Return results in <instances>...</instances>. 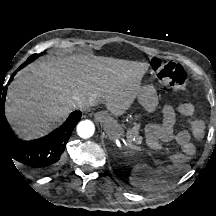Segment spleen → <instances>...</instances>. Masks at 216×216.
I'll return each mask as SVG.
<instances>
[{
    "mask_svg": "<svg viewBox=\"0 0 216 216\" xmlns=\"http://www.w3.org/2000/svg\"><path fill=\"white\" fill-rule=\"evenodd\" d=\"M129 181L134 186H139L145 190H150L154 185L163 182L154 177V172L145 164L135 163L131 169V175Z\"/></svg>",
    "mask_w": 216,
    "mask_h": 216,
    "instance_id": "3e777b00",
    "label": "spleen"
}]
</instances>
